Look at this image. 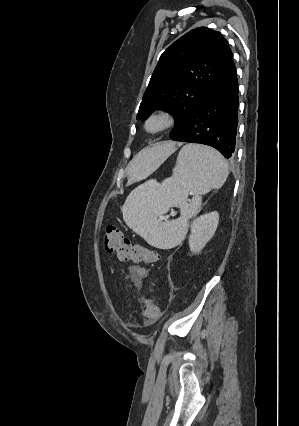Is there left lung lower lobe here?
<instances>
[{
    "label": "left lung lower lobe",
    "instance_id": "1",
    "mask_svg": "<svg viewBox=\"0 0 299 426\" xmlns=\"http://www.w3.org/2000/svg\"><path fill=\"white\" fill-rule=\"evenodd\" d=\"M236 67L227 71L190 115L186 125L171 139L210 145L226 158L235 151L238 124Z\"/></svg>",
    "mask_w": 299,
    "mask_h": 426
}]
</instances>
